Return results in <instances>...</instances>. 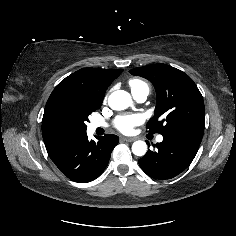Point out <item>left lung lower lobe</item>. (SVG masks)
Returning a JSON list of instances; mask_svg holds the SVG:
<instances>
[{
    "label": "left lung lower lobe",
    "instance_id": "0a47b994",
    "mask_svg": "<svg viewBox=\"0 0 236 236\" xmlns=\"http://www.w3.org/2000/svg\"><path fill=\"white\" fill-rule=\"evenodd\" d=\"M204 130H185L163 135L156 151L148 150L139 160L142 170L158 180L171 179L183 172L194 159Z\"/></svg>",
    "mask_w": 236,
    "mask_h": 236
}]
</instances>
